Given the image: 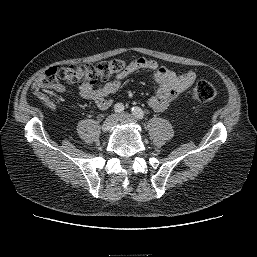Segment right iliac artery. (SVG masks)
I'll use <instances>...</instances> for the list:
<instances>
[{"label":"right iliac artery","instance_id":"1","mask_svg":"<svg viewBox=\"0 0 257 257\" xmlns=\"http://www.w3.org/2000/svg\"><path fill=\"white\" fill-rule=\"evenodd\" d=\"M114 110H115V112H117V113L123 112V110H124L123 104H121V103L116 104L115 107H114Z\"/></svg>","mask_w":257,"mask_h":257}]
</instances>
